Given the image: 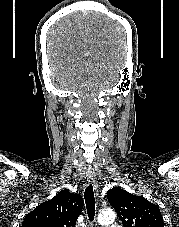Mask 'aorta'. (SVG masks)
Listing matches in <instances>:
<instances>
[{
    "instance_id": "obj_1",
    "label": "aorta",
    "mask_w": 179,
    "mask_h": 227,
    "mask_svg": "<svg viewBox=\"0 0 179 227\" xmlns=\"http://www.w3.org/2000/svg\"><path fill=\"white\" fill-rule=\"evenodd\" d=\"M116 218V214L112 209L103 210L98 214V223L102 226L112 224Z\"/></svg>"
}]
</instances>
